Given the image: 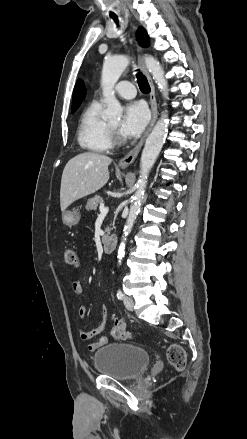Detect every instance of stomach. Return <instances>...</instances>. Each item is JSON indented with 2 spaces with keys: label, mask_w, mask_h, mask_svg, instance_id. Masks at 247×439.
<instances>
[{
  "label": "stomach",
  "mask_w": 247,
  "mask_h": 439,
  "mask_svg": "<svg viewBox=\"0 0 247 439\" xmlns=\"http://www.w3.org/2000/svg\"><path fill=\"white\" fill-rule=\"evenodd\" d=\"M62 220L67 226H75L79 223L80 212L77 209L65 210L62 213Z\"/></svg>",
  "instance_id": "0dacf381"
}]
</instances>
